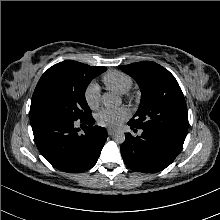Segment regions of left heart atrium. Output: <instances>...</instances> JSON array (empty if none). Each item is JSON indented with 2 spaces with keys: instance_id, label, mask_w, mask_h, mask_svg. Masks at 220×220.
<instances>
[{
  "instance_id": "left-heart-atrium-1",
  "label": "left heart atrium",
  "mask_w": 220,
  "mask_h": 220,
  "mask_svg": "<svg viewBox=\"0 0 220 220\" xmlns=\"http://www.w3.org/2000/svg\"><path fill=\"white\" fill-rule=\"evenodd\" d=\"M129 117L127 108L120 107L115 109L105 108L96 115L98 125L107 128H116Z\"/></svg>"
}]
</instances>
